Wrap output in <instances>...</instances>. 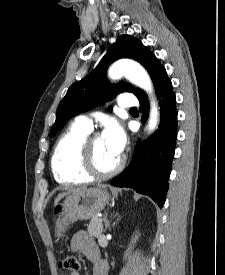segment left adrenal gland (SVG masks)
<instances>
[{
  "instance_id": "left-adrenal-gland-1",
  "label": "left adrenal gland",
  "mask_w": 225,
  "mask_h": 275,
  "mask_svg": "<svg viewBox=\"0 0 225 275\" xmlns=\"http://www.w3.org/2000/svg\"><path fill=\"white\" fill-rule=\"evenodd\" d=\"M104 222H105V229L107 230V228L109 227V221L107 219V214L104 217Z\"/></svg>"
}]
</instances>
